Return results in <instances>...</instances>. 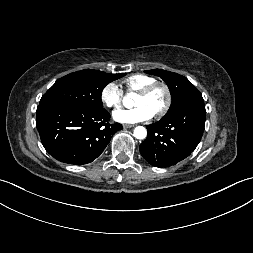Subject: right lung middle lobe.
Here are the masks:
<instances>
[{
	"label": "right lung middle lobe",
	"instance_id": "obj_1",
	"mask_svg": "<svg viewBox=\"0 0 253 253\" xmlns=\"http://www.w3.org/2000/svg\"><path fill=\"white\" fill-rule=\"evenodd\" d=\"M125 75L108 74L102 71L86 69L68 74L58 79L42 96L40 104L64 105L86 109L103 110L101 94L104 87Z\"/></svg>",
	"mask_w": 253,
	"mask_h": 253
}]
</instances>
